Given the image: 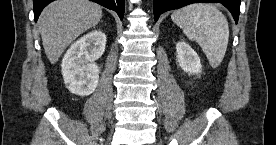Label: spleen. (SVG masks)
<instances>
[{"label":"spleen","instance_id":"obj_1","mask_svg":"<svg viewBox=\"0 0 276 145\" xmlns=\"http://www.w3.org/2000/svg\"><path fill=\"white\" fill-rule=\"evenodd\" d=\"M171 19L189 40L201 46L213 68L221 64L228 45L229 26L214 5L193 3L174 11Z\"/></svg>","mask_w":276,"mask_h":145}]
</instances>
